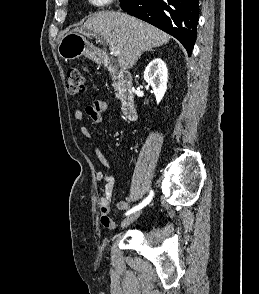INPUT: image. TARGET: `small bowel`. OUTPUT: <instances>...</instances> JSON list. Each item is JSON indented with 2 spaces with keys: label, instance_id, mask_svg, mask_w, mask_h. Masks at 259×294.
Masks as SVG:
<instances>
[{
  "label": "small bowel",
  "instance_id": "1",
  "mask_svg": "<svg viewBox=\"0 0 259 294\" xmlns=\"http://www.w3.org/2000/svg\"><path fill=\"white\" fill-rule=\"evenodd\" d=\"M107 107L108 103L106 100L98 99L95 100L91 105L87 106L85 112L80 109L75 110L74 117L76 120L81 121L84 117V114H86L88 115V117L91 118L94 123L100 124L102 121L103 113L107 110ZM81 132L92 142L95 154L104 168V170H100L96 174L97 180L103 183V191L99 200L100 222L104 227L108 229H114L116 227V222L109 215L111 197L116 184L115 177L108 173V171L113 168L112 164L109 162V160L106 158L105 154L99 147L95 135H93L85 126L81 127ZM117 207L120 210H126L130 207V202L129 200H120L117 203Z\"/></svg>",
  "mask_w": 259,
  "mask_h": 294
}]
</instances>
